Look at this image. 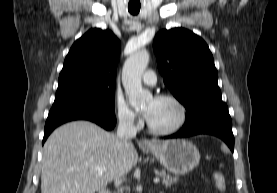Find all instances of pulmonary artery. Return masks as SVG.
Here are the masks:
<instances>
[{
    "mask_svg": "<svg viewBox=\"0 0 277 193\" xmlns=\"http://www.w3.org/2000/svg\"><path fill=\"white\" fill-rule=\"evenodd\" d=\"M142 80L145 84L153 86L157 82V77H156V74L154 73V71L147 70L144 72V74L142 76Z\"/></svg>",
    "mask_w": 277,
    "mask_h": 193,
    "instance_id": "pulmonary-artery-1",
    "label": "pulmonary artery"
}]
</instances>
